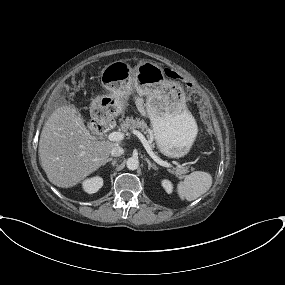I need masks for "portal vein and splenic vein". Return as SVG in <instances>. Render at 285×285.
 Returning a JSON list of instances; mask_svg holds the SVG:
<instances>
[{
    "label": "portal vein and splenic vein",
    "mask_w": 285,
    "mask_h": 285,
    "mask_svg": "<svg viewBox=\"0 0 285 285\" xmlns=\"http://www.w3.org/2000/svg\"><path fill=\"white\" fill-rule=\"evenodd\" d=\"M133 134H135L140 141L142 142L143 146L145 147L147 153L151 156V158L159 165L166 167V168H170L172 167V165L166 161H163L162 159H160L158 156L155 155V153L152 151L150 145L148 144L147 140L145 139V137L143 136V134L137 130H133L132 131ZM108 139L110 141H122L124 139V134L122 132H111L108 134Z\"/></svg>",
    "instance_id": "portal-vein-and-splenic-vein-1"
}]
</instances>
